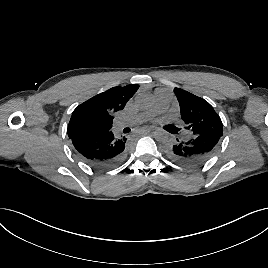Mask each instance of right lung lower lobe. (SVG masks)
Wrapping results in <instances>:
<instances>
[{
  "label": "right lung lower lobe",
  "instance_id": "1",
  "mask_svg": "<svg viewBox=\"0 0 268 268\" xmlns=\"http://www.w3.org/2000/svg\"><path fill=\"white\" fill-rule=\"evenodd\" d=\"M76 153L87 164L96 168H111L124 156L126 138L115 136L112 131L90 136L70 137Z\"/></svg>",
  "mask_w": 268,
  "mask_h": 268
}]
</instances>
